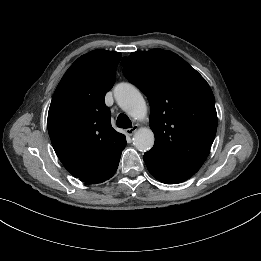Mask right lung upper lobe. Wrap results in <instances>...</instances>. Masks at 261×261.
<instances>
[{
	"label": "right lung upper lobe",
	"mask_w": 261,
	"mask_h": 261,
	"mask_svg": "<svg viewBox=\"0 0 261 261\" xmlns=\"http://www.w3.org/2000/svg\"><path fill=\"white\" fill-rule=\"evenodd\" d=\"M121 53L94 50L66 71L53 95L48 132L65 168L81 181L96 184L117 170L126 138L115 131L106 92L115 83Z\"/></svg>",
	"instance_id": "obj_1"
}]
</instances>
